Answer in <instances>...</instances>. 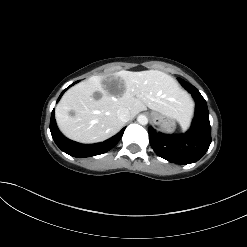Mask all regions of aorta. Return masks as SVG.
Here are the masks:
<instances>
[{
	"label": "aorta",
	"mask_w": 247,
	"mask_h": 247,
	"mask_svg": "<svg viewBox=\"0 0 247 247\" xmlns=\"http://www.w3.org/2000/svg\"><path fill=\"white\" fill-rule=\"evenodd\" d=\"M137 121L141 125H146L148 123V118L145 115L141 114L137 117Z\"/></svg>",
	"instance_id": "obj_1"
}]
</instances>
